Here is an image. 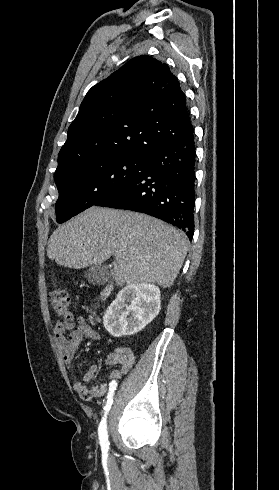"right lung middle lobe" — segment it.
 <instances>
[{
	"instance_id": "1",
	"label": "right lung middle lobe",
	"mask_w": 279,
	"mask_h": 490,
	"mask_svg": "<svg viewBox=\"0 0 279 490\" xmlns=\"http://www.w3.org/2000/svg\"><path fill=\"white\" fill-rule=\"evenodd\" d=\"M148 161L135 156L101 157L54 176L59 191L56 220L63 223L143 174Z\"/></svg>"
}]
</instances>
